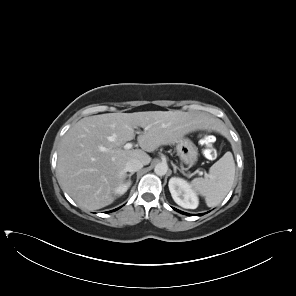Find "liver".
I'll list each match as a JSON object with an SVG mask.
<instances>
[{
    "label": "liver",
    "mask_w": 296,
    "mask_h": 296,
    "mask_svg": "<svg viewBox=\"0 0 296 296\" xmlns=\"http://www.w3.org/2000/svg\"><path fill=\"white\" fill-rule=\"evenodd\" d=\"M141 149H123L135 138ZM215 129V120L203 112L145 111L106 113L82 118L64 135L58 151L57 179L80 206L101 209L113 203L115 190L126 178V163L151 162L146 152L177 143L184 135Z\"/></svg>",
    "instance_id": "1"
}]
</instances>
